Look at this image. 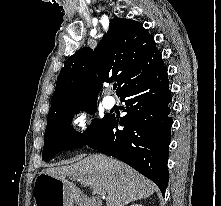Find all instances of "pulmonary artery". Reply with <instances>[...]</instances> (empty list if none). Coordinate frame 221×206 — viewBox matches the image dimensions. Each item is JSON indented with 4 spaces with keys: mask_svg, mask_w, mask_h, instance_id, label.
Instances as JSON below:
<instances>
[{
    "mask_svg": "<svg viewBox=\"0 0 221 206\" xmlns=\"http://www.w3.org/2000/svg\"><path fill=\"white\" fill-rule=\"evenodd\" d=\"M103 104L106 108L110 109L114 106L115 100L112 96H106L103 100Z\"/></svg>",
    "mask_w": 221,
    "mask_h": 206,
    "instance_id": "pulmonary-artery-1",
    "label": "pulmonary artery"
}]
</instances>
